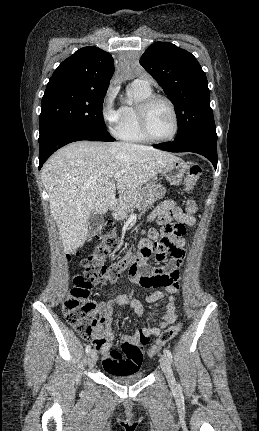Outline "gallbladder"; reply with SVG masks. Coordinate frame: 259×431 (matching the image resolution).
<instances>
[{
    "label": "gallbladder",
    "instance_id": "bac80fb5",
    "mask_svg": "<svg viewBox=\"0 0 259 431\" xmlns=\"http://www.w3.org/2000/svg\"><path fill=\"white\" fill-rule=\"evenodd\" d=\"M104 223L103 215L97 212H91L88 220V233L89 235H95Z\"/></svg>",
    "mask_w": 259,
    "mask_h": 431
}]
</instances>
